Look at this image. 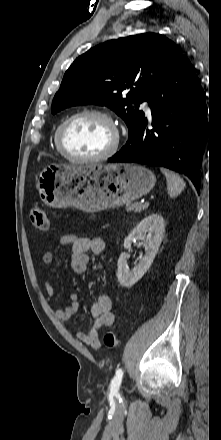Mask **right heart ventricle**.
<instances>
[{
    "mask_svg": "<svg viewBox=\"0 0 221 440\" xmlns=\"http://www.w3.org/2000/svg\"><path fill=\"white\" fill-rule=\"evenodd\" d=\"M58 126H59V125H57V126L54 128L53 132H52L53 143H54V146H55V148H56L57 151H58V148H57V144H56V132H57V128H58ZM58 152H59V151H58Z\"/></svg>",
    "mask_w": 221,
    "mask_h": 440,
    "instance_id": "e07e8e85",
    "label": "right heart ventricle"
}]
</instances>
